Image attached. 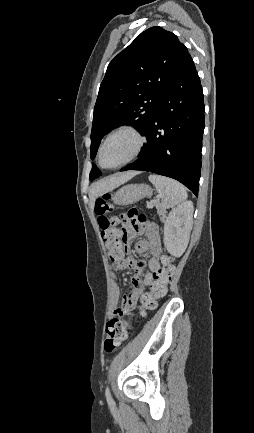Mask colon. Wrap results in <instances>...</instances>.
Wrapping results in <instances>:
<instances>
[{
  "instance_id": "1",
  "label": "colon",
  "mask_w": 254,
  "mask_h": 433,
  "mask_svg": "<svg viewBox=\"0 0 254 433\" xmlns=\"http://www.w3.org/2000/svg\"><path fill=\"white\" fill-rule=\"evenodd\" d=\"M109 200V194L98 198L95 202V213L98 216L108 258L111 262H115L123 258L126 251L128 231L124 225V220L132 226H141L147 222L148 218L144 212L137 208H130L119 218L108 217ZM175 270L173 259L167 256L163 257L162 265L155 273V283L151 291L142 297V315L144 310L154 309L157 299L166 294L167 285L173 280ZM123 314L129 315L130 312L128 309H124L120 315L112 317L106 323L104 349L107 353L116 351L128 338L131 331L132 321L123 319L121 317Z\"/></svg>"
}]
</instances>
